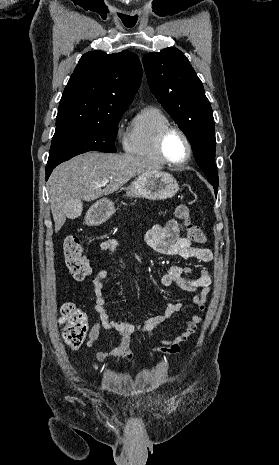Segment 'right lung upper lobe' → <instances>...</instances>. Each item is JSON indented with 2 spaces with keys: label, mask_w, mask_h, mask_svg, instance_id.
<instances>
[{
  "label": "right lung upper lobe",
  "mask_w": 279,
  "mask_h": 465,
  "mask_svg": "<svg viewBox=\"0 0 279 465\" xmlns=\"http://www.w3.org/2000/svg\"><path fill=\"white\" fill-rule=\"evenodd\" d=\"M141 77V64L134 53L84 54L63 92L56 126L100 121L112 110L127 109Z\"/></svg>",
  "instance_id": "1"
}]
</instances>
